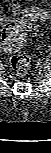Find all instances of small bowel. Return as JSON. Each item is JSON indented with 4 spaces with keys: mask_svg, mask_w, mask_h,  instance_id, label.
Listing matches in <instances>:
<instances>
[{
    "mask_svg": "<svg viewBox=\"0 0 51 153\" xmlns=\"http://www.w3.org/2000/svg\"><path fill=\"white\" fill-rule=\"evenodd\" d=\"M4 9H5V11H8L9 9H12V5H11V6L5 5V6H4ZM29 15H30V14H29ZM32 17H36L37 19L42 18V17L39 16V15H37V16H32Z\"/></svg>",
    "mask_w": 51,
    "mask_h": 153,
    "instance_id": "c3829d8e",
    "label": "small bowel"
}]
</instances>
